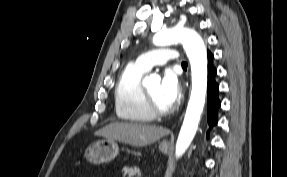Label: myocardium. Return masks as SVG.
<instances>
[{
	"label": "myocardium",
	"instance_id": "1",
	"mask_svg": "<svg viewBox=\"0 0 287 177\" xmlns=\"http://www.w3.org/2000/svg\"><path fill=\"white\" fill-rule=\"evenodd\" d=\"M143 93H144L146 107L153 116L162 117V116L169 115L173 112L174 110L173 107H170L169 109L160 108L155 102V100L153 99V97L151 96V94L149 93L147 88L143 89Z\"/></svg>",
	"mask_w": 287,
	"mask_h": 177
}]
</instances>
